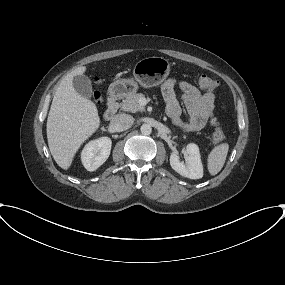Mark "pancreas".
I'll return each mask as SVG.
<instances>
[{
	"label": "pancreas",
	"mask_w": 285,
	"mask_h": 285,
	"mask_svg": "<svg viewBox=\"0 0 285 285\" xmlns=\"http://www.w3.org/2000/svg\"><path fill=\"white\" fill-rule=\"evenodd\" d=\"M144 97L142 93L130 94L119 104V107L123 111L132 113L145 111V108L139 104V100Z\"/></svg>",
	"instance_id": "cf45deb5"
}]
</instances>
